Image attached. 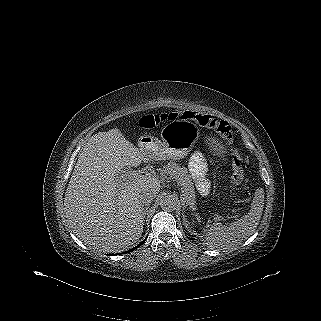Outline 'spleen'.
<instances>
[{"label": "spleen", "instance_id": "3e777b00", "mask_svg": "<svg viewBox=\"0 0 321 321\" xmlns=\"http://www.w3.org/2000/svg\"><path fill=\"white\" fill-rule=\"evenodd\" d=\"M264 207V191H256L249 212L228 227L221 223L213 224L207 231L205 241L207 246L216 249H229L243 239L252 235L261 219Z\"/></svg>", "mask_w": 321, "mask_h": 321}]
</instances>
